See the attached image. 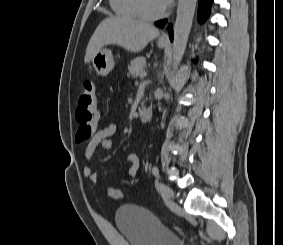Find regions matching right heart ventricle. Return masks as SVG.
I'll return each instance as SVG.
<instances>
[{"label": "right heart ventricle", "instance_id": "1", "mask_svg": "<svg viewBox=\"0 0 283 245\" xmlns=\"http://www.w3.org/2000/svg\"><path fill=\"white\" fill-rule=\"evenodd\" d=\"M110 6L118 16L128 18L140 17L136 9L135 0H110Z\"/></svg>", "mask_w": 283, "mask_h": 245}]
</instances>
